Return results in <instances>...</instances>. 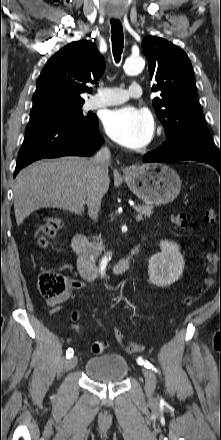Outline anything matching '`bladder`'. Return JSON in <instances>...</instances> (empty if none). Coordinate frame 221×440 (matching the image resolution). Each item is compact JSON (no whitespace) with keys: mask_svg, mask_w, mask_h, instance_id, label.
Segmentation results:
<instances>
[{"mask_svg":"<svg viewBox=\"0 0 221 440\" xmlns=\"http://www.w3.org/2000/svg\"><path fill=\"white\" fill-rule=\"evenodd\" d=\"M129 372L126 358L118 353L101 354L85 364V374L98 382L120 383Z\"/></svg>","mask_w":221,"mask_h":440,"instance_id":"bladder-1","label":"bladder"}]
</instances>
